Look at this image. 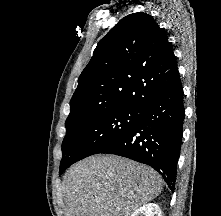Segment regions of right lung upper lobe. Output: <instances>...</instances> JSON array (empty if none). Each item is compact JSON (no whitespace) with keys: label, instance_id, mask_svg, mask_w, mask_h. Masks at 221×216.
<instances>
[{"label":"right lung upper lobe","instance_id":"right-lung-upper-lobe-1","mask_svg":"<svg viewBox=\"0 0 221 216\" xmlns=\"http://www.w3.org/2000/svg\"><path fill=\"white\" fill-rule=\"evenodd\" d=\"M178 74L162 28L146 13L130 14L95 48L78 79L65 126L107 110L141 107Z\"/></svg>","mask_w":221,"mask_h":216}]
</instances>
